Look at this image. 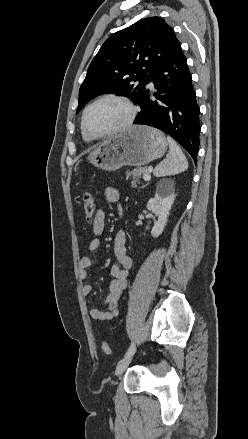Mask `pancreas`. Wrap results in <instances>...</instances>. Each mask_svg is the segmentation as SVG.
I'll return each instance as SVG.
<instances>
[{
  "label": "pancreas",
  "mask_w": 248,
  "mask_h": 439,
  "mask_svg": "<svg viewBox=\"0 0 248 439\" xmlns=\"http://www.w3.org/2000/svg\"><path fill=\"white\" fill-rule=\"evenodd\" d=\"M146 172H147L146 168L139 167V168L133 169L132 171L127 170L126 177H127V179L132 178L131 185H132V187H136L137 184L140 182L141 175L145 174Z\"/></svg>",
  "instance_id": "cf45deb5"
}]
</instances>
